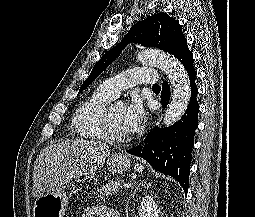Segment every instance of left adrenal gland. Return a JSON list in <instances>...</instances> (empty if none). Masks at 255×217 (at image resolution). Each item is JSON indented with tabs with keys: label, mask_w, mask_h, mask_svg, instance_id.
Returning a JSON list of instances; mask_svg holds the SVG:
<instances>
[{
	"label": "left adrenal gland",
	"mask_w": 255,
	"mask_h": 217,
	"mask_svg": "<svg viewBox=\"0 0 255 217\" xmlns=\"http://www.w3.org/2000/svg\"><path fill=\"white\" fill-rule=\"evenodd\" d=\"M140 186H144V183L143 182H140L137 187L135 188V190L130 194L129 198H128V201H127V205H126V212L128 213V203L131 199L132 196H134V194L137 192V190L140 188Z\"/></svg>",
	"instance_id": "a2214340"
}]
</instances>
